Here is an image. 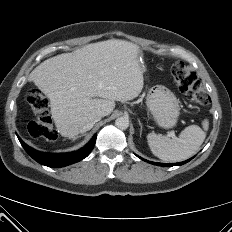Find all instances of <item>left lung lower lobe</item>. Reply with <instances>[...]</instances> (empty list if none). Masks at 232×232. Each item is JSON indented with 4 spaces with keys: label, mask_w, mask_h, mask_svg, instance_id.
Listing matches in <instances>:
<instances>
[{
    "label": "left lung lower lobe",
    "mask_w": 232,
    "mask_h": 232,
    "mask_svg": "<svg viewBox=\"0 0 232 232\" xmlns=\"http://www.w3.org/2000/svg\"><path fill=\"white\" fill-rule=\"evenodd\" d=\"M139 158L142 159V160H144V161H146V162H148V163H151V164H154V165H159V166H165V167H171V166H176V165H183V164L187 163L188 161H190L192 159L191 158L189 160H186V161H183V162H180V163L164 164V163H156V162L147 161V160H145V159H143L141 157H139Z\"/></svg>",
    "instance_id": "0a47b994"
}]
</instances>
